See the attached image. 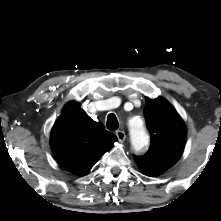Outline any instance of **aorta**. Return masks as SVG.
I'll use <instances>...</instances> for the list:
<instances>
[{"instance_id":"762f6f07","label":"aorta","mask_w":221,"mask_h":221,"mask_svg":"<svg viewBox=\"0 0 221 221\" xmlns=\"http://www.w3.org/2000/svg\"><path fill=\"white\" fill-rule=\"evenodd\" d=\"M128 127L133 149L137 152L142 151L148 145V135L143 122L131 120Z\"/></svg>"}]
</instances>
